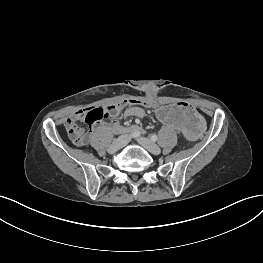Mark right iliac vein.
<instances>
[{"instance_id":"right-iliac-vein-1","label":"right iliac vein","mask_w":263,"mask_h":263,"mask_svg":"<svg viewBox=\"0 0 263 263\" xmlns=\"http://www.w3.org/2000/svg\"><path fill=\"white\" fill-rule=\"evenodd\" d=\"M129 136L128 135H122L116 140H114L111 145L108 148L109 153H115L122 147H124L128 142Z\"/></svg>"}]
</instances>
